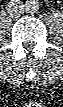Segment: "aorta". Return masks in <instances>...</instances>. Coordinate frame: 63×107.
Here are the masks:
<instances>
[{
  "instance_id": "aorta-1",
  "label": "aorta",
  "mask_w": 63,
  "mask_h": 107,
  "mask_svg": "<svg viewBox=\"0 0 63 107\" xmlns=\"http://www.w3.org/2000/svg\"><path fill=\"white\" fill-rule=\"evenodd\" d=\"M38 8H39V3L37 0H27L25 2V10L27 12H31V13L36 12Z\"/></svg>"
}]
</instances>
